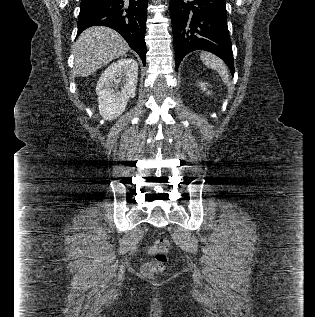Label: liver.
<instances>
[{"label": "liver", "mask_w": 315, "mask_h": 317, "mask_svg": "<svg viewBox=\"0 0 315 317\" xmlns=\"http://www.w3.org/2000/svg\"><path fill=\"white\" fill-rule=\"evenodd\" d=\"M128 50V44L116 31L104 26L91 27L73 45L75 73L87 77Z\"/></svg>", "instance_id": "1"}]
</instances>
